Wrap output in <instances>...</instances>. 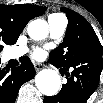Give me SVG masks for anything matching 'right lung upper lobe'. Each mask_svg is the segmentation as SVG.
<instances>
[{
    "instance_id": "cb5924a9",
    "label": "right lung upper lobe",
    "mask_w": 103,
    "mask_h": 103,
    "mask_svg": "<svg viewBox=\"0 0 103 103\" xmlns=\"http://www.w3.org/2000/svg\"><path fill=\"white\" fill-rule=\"evenodd\" d=\"M45 10L46 7L33 4H0V44L16 43L26 24Z\"/></svg>"
}]
</instances>
